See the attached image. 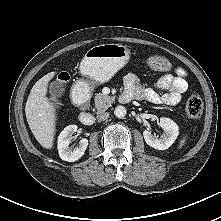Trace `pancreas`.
<instances>
[{
  "label": "pancreas",
  "mask_w": 221,
  "mask_h": 221,
  "mask_svg": "<svg viewBox=\"0 0 221 221\" xmlns=\"http://www.w3.org/2000/svg\"><path fill=\"white\" fill-rule=\"evenodd\" d=\"M114 100H115L114 97H110L103 93L96 94L94 101L97 112H103L107 110L114 102Z\"/></svg>",
  "instance_id": "obj_1"
}]
</instances>
